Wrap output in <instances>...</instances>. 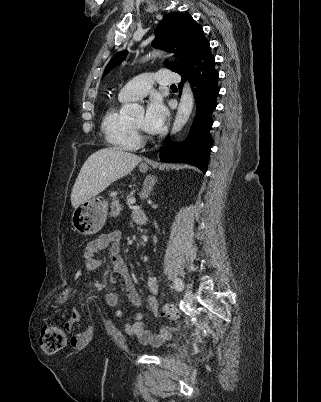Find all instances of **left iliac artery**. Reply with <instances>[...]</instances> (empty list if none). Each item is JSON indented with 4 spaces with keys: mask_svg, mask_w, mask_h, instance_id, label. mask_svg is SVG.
I'll return each instance as SVG.
<instances>
[{
    "mask_svg": "<svg viewBox=\"0 0 321 402\" xmlns=\"http://www.w3.org/2000/svg\"><path fill=\"white\" fill-rule=\"evenodd\" d=\"M174 286L177 291L181 292L184 289V285L181 279L176 278L174 281Z\"/></svg>",
    "mask_w": 321,
    "mask_h": 402,
    "instance_id": "left-iliac-artery-1",
    "label": "left iliac artery"
}]
</instances>
